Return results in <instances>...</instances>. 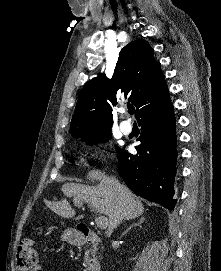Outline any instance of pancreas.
<instances>
[{
	"instance_id": "obj_1",
	"label": "pancreas",
	"mask_w": 221,
	"mask_h": 271,
	"mask_svg": "<svg viewBox=\"0 0 221 271\" xmlns=\"http://www.w3.org/2000/svg\"><path fill=\"white\" fill-rule=\"evenodd\" d=\"M84 257V263H91V261H98L100 255H96L95 249L89 247V249H86Z\"/></svg>"
}]
</instances>
